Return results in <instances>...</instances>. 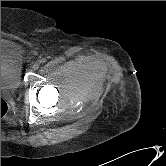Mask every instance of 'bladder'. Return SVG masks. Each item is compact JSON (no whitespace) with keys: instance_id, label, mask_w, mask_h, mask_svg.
<instances>
[{"instance_id":"bladder-1","label":"bladder","mask_w":166,"mask_h":166,"mask_svg":"<svg viewBox=\"0 0 166 166\" xmlns=\"http://www.w3.org/2000/svg\"><path fill=\"white\" fill-rule=\"evenodd\" d=\"M22 68L19 46L1 38V91H14L21 86Z\"/></svg>"}]
</instances>
